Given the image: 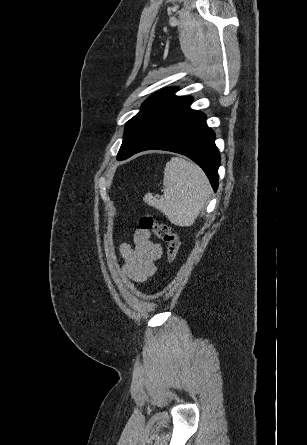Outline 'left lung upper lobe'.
Wrapping results in <instances>:
<instances>
[{"mask_svg": "<svg viewBox=\"0 0 307 445\" xmlns=\"http://www.w3.org/2000/svg\"><path fill=\"white\" fill-rule=\"evenodd\" d=\"M176 91L177 88H168L153 94L127 122L118 160H124L149 137L191 110L192 97H177Z\"/></svg>", "mask_w": 307, "mask_h": 445, "instance_id": "left-lung-upper-lobe-1", "label": "left lung upper lobe"}]
</instances>
